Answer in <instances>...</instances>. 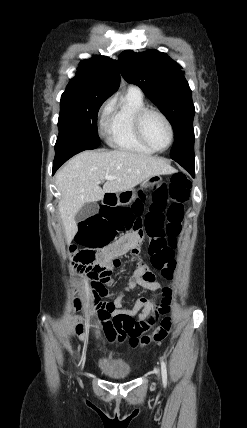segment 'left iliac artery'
Here are the masks:
<instances>
[{"instance_id": "1", "label": "left iliac artery", "mask_w": 247, "mask_h": 428, "mask_svg": "<svg viewBox=\"0 0 247 428\" xmlns=\"http://www.w3.org/2000/svg\"><path fill=\"white\" fill-rule=\"evenodd\" d=\"M161 373H162V382L164 387H166L167 385V368H166V364L163 360V358H161Z\"/></svg>"}]
</instances>
